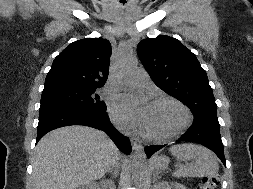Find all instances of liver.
Listing matches in <instances>:
<instances>
[{
	"label": "liver",
	"instance_id": "liver-1",
	"mask_svg": "<svg viewBox=\"0 0 253 189\" xmlns=\"http://www.w3.org/2000/svg\"><path fill=\"white\" fill-rule=\"evenodd\" d=\"M123 156L102 131L67 126L47 133L33 160L35 189H76L104 176Z\"/></svg>",
	"mask_w": 253,
	"mask_h": 189
}]
</instances>
